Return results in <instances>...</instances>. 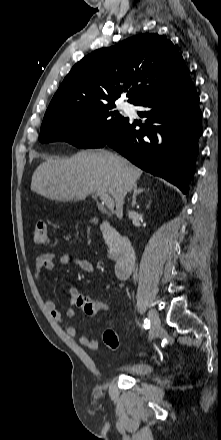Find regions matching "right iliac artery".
Masks as SVG:
<instances>
[{
	"label": "right iliac artery",
	"mask_w": 221,
	"mask_h": 440,
	"mask_svg": "<svg viewBox=\"0 0 221 440\" xmlns=\"http://www.w3.org/2000/svg\"><path fill=\"white\" fill-rule=\"evenodd\" d=\"M143 326H144L145 329L150 328V321L148 319H145L144 323H143Z\"/></svg>",
	"instance_id": "obj_1"
}]
</instances>
